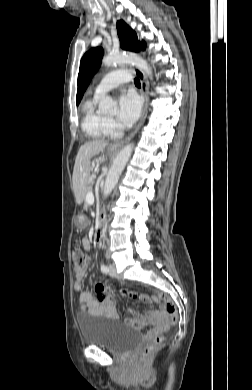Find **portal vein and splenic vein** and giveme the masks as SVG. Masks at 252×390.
I'll return each instance as SVG.
<instances>
[{
  "instance_id": "obj_1",
  "label": "portal vein and splenic vein",
  "mask_w": 252,
  "mask_h": 390,
  "mask_svg": "<svg viewBox=\"0 0 252 390\" xmlns=\"http://www.w3.org/2000/svg\"><path fill=\"white\" fill-rule=\"evenodd\" d=\"M86 202L88 204H93L94 203V195H93L92 192L87 193V195H86Z\"/></svg>"
}]
</instances>
